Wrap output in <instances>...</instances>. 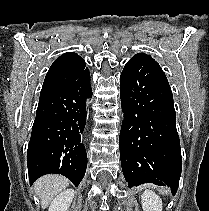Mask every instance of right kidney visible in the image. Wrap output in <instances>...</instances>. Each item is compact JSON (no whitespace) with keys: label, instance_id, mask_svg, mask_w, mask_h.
<instances>
[{"label":"right kidney","instance_id":"1","mask_svg":"<svg viewBox=\"0 0 209 211\" xmlns=\"http://www.w3.org/2000/svg\"><path fill=\"white\" fill-rule=\"evenodd\" d=\"M73 189H66L56 196L49 206L48 211H67L74 197Z\"/></svg>","mask_w":209,"mask_h":211}]
</instances>
